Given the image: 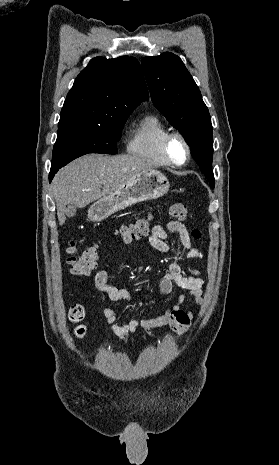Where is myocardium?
<instances>
[{"label": "myocardium", "instance_id": "f54148a6", "mask_svg": "<svg viewBox=\"0 0 279 465\" xmlns=\"http://www.w3.org/2000/svg\"><path fill=\"white\" fill-rule=\"evenodd\" d=\"M174 139H179L183 143V145L185 146V149H186V157H185L184 161L181 162V163H178V162L174 161L173 158L170 155L169 147H170L171 142ZM162 152H163L164 157L168 161V163L170 165L176 166V167H182V166L186 165L189 162L190 158H191V146H190L188 140L186 139V137L182 133H180L179 131H170L165 135V137L163 138V141H162Z\"/></svg>", "mask_w": 279, "mask_h": 465}]
</instances>
